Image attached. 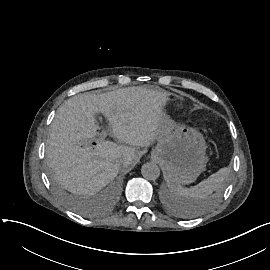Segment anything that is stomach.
I'll return each mask as SVG.
<instances>
[{
  "label": "stomach",
  "instance_id": "1",
  "mask_svg": "<svg viewBox=\"0 0 270 270\" xmlns=\"http://www.w3.org/2000/svg\"><path fill=\"white\" fill-rule=\"evenodd\" d=\"M156 140L157 145L151 152V158L163 166L170 184H190L205 171L208 162L207 145L196 128L165 120L159 127Z\"/></svg>",
  "mask_w": 270,
  "mask_h": 270
}]
</instances>
